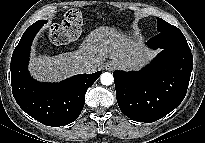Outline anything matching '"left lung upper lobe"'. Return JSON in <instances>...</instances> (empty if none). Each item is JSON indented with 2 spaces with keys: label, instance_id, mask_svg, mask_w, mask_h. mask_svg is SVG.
Returning <instances> with one entry per match:
<instances>
[{
  "label": "left lung upper lobe",
  "instance_id": "1",
  "mask_svg": "<svg viewBox=\"0 0 205 143\" xmlns=\"http://www.w3.org/2000/svg\"><path fill=\"white\" fill-rule=\"evenodd\" d=\"M178 28L164 21L163 19L157 17V31L165 32V31H174Z\"/></svg>",
  "mask_w": 205,
  "mask_h": 143
}]
</instances>
